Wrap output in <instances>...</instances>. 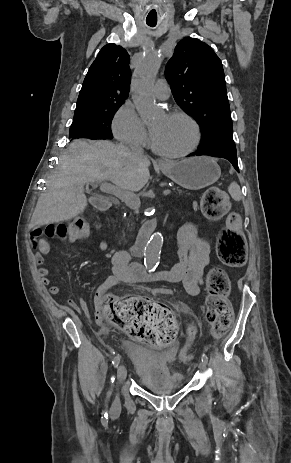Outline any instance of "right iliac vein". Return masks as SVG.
Returning <instances> with one entry per match:
<instances>
[{
	"label": "right iliac vein",
	"mask_w": 291,
	"mask_h": 463,
	"mask_svg": "<svg viewBox=\"0 0 291 463\" xmlns=\"http://www.w3.org/2000/svg\"><path fill=\"white\" fill-rule=\"evenodd\" d=\"M117 376H118V379L120 382H123L127 376V370H126V367L124 365H120L118 367V370H117ZM120 407V400H119V396L117 395L114 402H113V405H112V408L114 410L118 409Z\"/></svg>",
	"instance_id": "1"
}]
</instances>
